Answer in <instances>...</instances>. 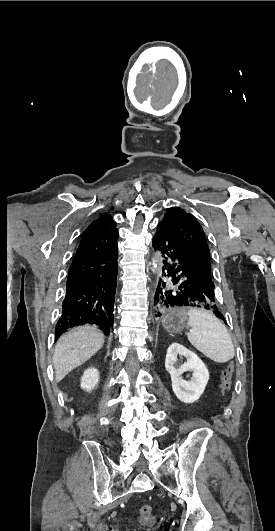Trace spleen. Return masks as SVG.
I'll use <instances>...</instances> for the list:
<instances>
[{
    "label": "spleen",
    "instance_id": "spleen-1",
    "mask_svg": "<svg viewBox=\"0 0 275 531\" xmlns=\"http://www.w3.org/2000/svg\"><path fill=\"white\" fill-rule=\"evenodd\" d=\"M187 315V325L191 329L186 335L195 349L215 363H227L233 359L234 345L220 319L204 309H190Z\"/></svg>",
    "mask_w": 275,
    "mask_h": 531
}]
</instances>
